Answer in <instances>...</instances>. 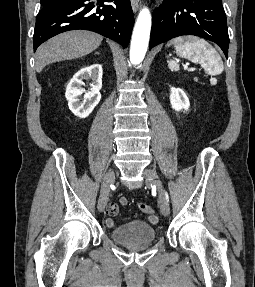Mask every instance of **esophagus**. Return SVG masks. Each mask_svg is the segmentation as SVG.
<instances>
[{"label": "esophagus", "mask_w": 255, "mask_h": 287, "mask_svg": "<svg viewBox=\"0 0 255 287\" xmlns=\"http://www.w3.org/2000/svg\"><path fill=\"white\" fill-rule=\"evenodd\" d=\"M140 0H131V6L133 11L136 13L139 9Z\"/></svg>", "instance_id": "esophagus-1"}]
</instances>
